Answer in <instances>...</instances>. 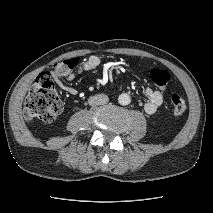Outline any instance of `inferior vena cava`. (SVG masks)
Returning <instances> with one entry per match:
<instances>
[{
  "label": "inferior vena cava",
  "mask_w": 213,
  "mask_h": 213,
  "mask_svg": "<svg viewBox=\"0 0 213 213\" xmlns=\"http://www.w3.org/2000/svg\"><path fill=\"white\" fill-rule=\"evenodd\" d=\"M109 101V98L105 94H98L95 96H91L88 100L89 105L96 106V105H104Z\"/></svg>",
  "instance_id": "inferior-vena-cava-1"
}]
</instances>
